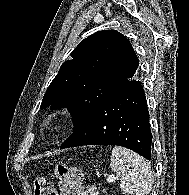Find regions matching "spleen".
I'll return each instance as SVG.
<instances>
[{
	"instance_id": "1",
	"label": "spleen",
	"mask_w": 189,
	"mask_h": 195,
	"mask_svg": "<svg viewBox=\"0 0 189 195\" xmlns=\"http://www.w3.org/2000/svg\"><path fill=\"white\" fill-rule=\"evenodd\" d=\"M110 168L120 177V188L124 194L148 195L151 192V165L135 152L115 146L111 154Z\"/></svg>"
}]
</instances>
